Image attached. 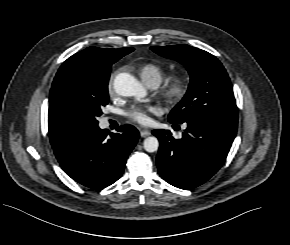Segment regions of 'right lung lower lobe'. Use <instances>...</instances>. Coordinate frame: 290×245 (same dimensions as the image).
I'll use <instances>...</instances> for the list:
<instances>
[{
	"mask_svg": "<svg viewBox=\"0 0 290 245\" xmlns=\"http://www.w3.org/2000/svg\"><path fill=\"white\" fill-rule=\"evenodd\" d=\"M139 138L132 125H122L117 133L98 126L84 128L53 147L62 169L75 181L101 189L117 181L126 159Z\"/></svg>",
	"mask_w": 290,
	"mask_h": 245,
	"instance_id": "98d812e1",
	"label": "right lung lower lobe"
}]
</instances>
